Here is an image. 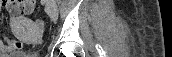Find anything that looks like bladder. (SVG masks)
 Returning <instances> with one entry per match:
<instances>
[{"label": "bladder", "mask_w": 172, "mask_h": 57, "mask_svg": "<svg viewBox=\"0 0 172 57\" xmlns=\"http://www.w3.org/2000/svg\"><path fill=\"white\" fill-rule=\"evenodd\" d=\"M3 57H25V56H22L21 54H12V55H7Z\"/></svg>", "instance_id": "31cf9c89"}]
</instances>
